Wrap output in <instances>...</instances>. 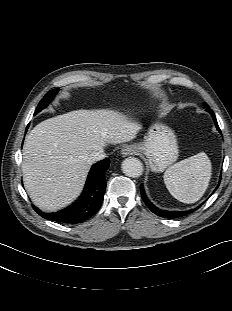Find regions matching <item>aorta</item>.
<instances>
[{"instance_id":"1","label":"aorta","mask_w":232,"mask_h":311,"mask_svg":"<svg viewBox=\"0 0 232 311\" xmlns=\"http://www.w3.org/2000/svg\"><path fill=\"white\" fill-rule=\"evenodd\" d=\"M122 171L128 177H139L143 173V164L139 159L129 157L122 162Z\"/></svg>"}]
</instances>
